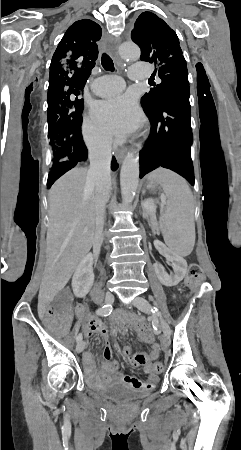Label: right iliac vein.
<instances>
[{
	"instance_id": "63e3f726",
	"label": "right iliac vein",
	"mask_w": 241,
	"mask_h": 450,
	"mask_svg": "<svg viewBox=\"0 0 241 450\" xmlns=\"http://www.w3.org/2000/svg\"><path fill=\"white\" fill-rule=\"evenodd\" d=\"M113 301H114V296H113V294L110 293V292L106 293V295H105V303H106V304H112ZM84 346H85L84 341H80V342L77 344V346H76V352H77V353L82 352L83 349H84Z\"/></svg>"
}]
</instances>
